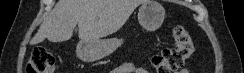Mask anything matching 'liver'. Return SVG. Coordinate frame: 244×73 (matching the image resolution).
Instances as JSON below:
<instances>
[{"mask_svg":"<svg viewBox=\"0 0 244 73\" xmlns=\"http://www.w3.org/2000/svg\"><path fill=\"white\" fill-rule=\"evenodd\" d=\"M147 0H59L30 44L69 40L78 25L81 41L98 40L118 31Z\"/></svg>","mask_w":244,"mask_h":73,"instance_id":"6515ba94","label":"liver"}]
</instances>
